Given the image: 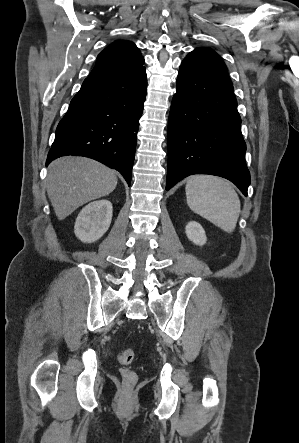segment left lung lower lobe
I'll use <instances>...</instances> for the list:
<instances>
[{"label": "left lung lower lobe", "mask_w": 299, "mask_h": 443, "mask_svg": "<svg viewBox=\"0 0 299 443\" xmlns=\"http://www.w3.org/2000/svg\"><path fill=\"white\" fill-rule=\"evenodd\" d=\"M168 124L166 190L192 174L232 181L247 196L250 173L233 85L183 65Z\"/></svg>", "instance_id": "1"}]
</instances>
